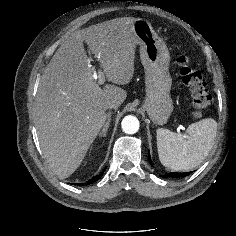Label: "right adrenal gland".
I'll list each match as a JSON object with an SVG mask.
<instances>
[{
    "instance_id": "1",
    "label": "right adrenal gland",
    "mask_w": 236,
    "mask_h": 236,
    "mask_svg": "<svg viewBox=\"0 0 236 236\" xmlns=\"http://www.w3.org/2000/svg\"><path fill=\"white\" fill-rule=\"evenodd\" d=\"M110 122H111V113L108 114L107 121H106L102 131L99 133L100 137H105L107 135V131L110 126Z\"/></svg>"
}]
</instances>
